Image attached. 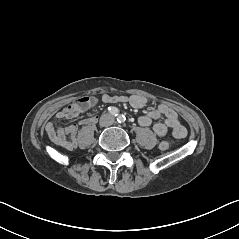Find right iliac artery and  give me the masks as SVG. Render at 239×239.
I'll use <instances>...</instances> for the list:
<instances>
[{"label":"right iliac artery","instance_id":"obj_1","mask_svg":"<svg viewBox=\"0 0 239 239\" xmlns=\"http://www.w3.org/2000/svg\"><path fill=\"white\" fill-rule=\"evenodd\" d=\"M108 111L113 116H118L119 115V110L116 107H109Z\"/></svg>","mask_w":239,"mask_h":239}]
</instances>
